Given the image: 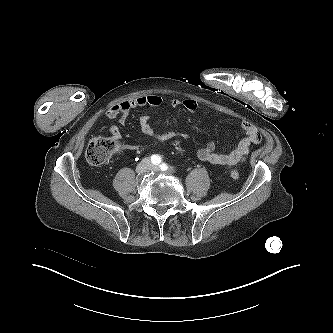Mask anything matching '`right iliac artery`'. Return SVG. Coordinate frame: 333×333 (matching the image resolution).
Wrapping results in <instances>:
<instances>
[{
	"label": "right iliac artery",
	"instance_id": "right-iliac-artery-1",
	"mask_svg": "<svg viewBox=\"0 0 333 333\" xmlns=\"http://www.w3.org/2000/svg\"><path fill=\"white\" fill-rule=\"evenodd\" d=\"M151 162H152L154 165H158V164H160V162H161V158H160V156H158V155H152V156H151Z\"/></svg>",
	"mask_w": 333,
	"mask_h": 333
}]
</instances>
